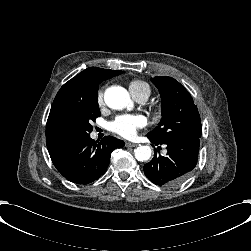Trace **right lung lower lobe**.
Instances as JSON below:
<instances>
[{
	"mask_svg": "<svg viewBox=\"0 0 251 251\" xmlns=\"http://www.w3.org/2000/svg\"><path fill=\"white\" fill-rule=\"evenodd\" d=\"M123 146L124 141L113 136H105L101 143L97 144V141L88 135L51 153L50 157L54 166L67 180L88 184L106 172L111 152Z\"/></svg>",
	"mask_w": 251,
	"mask_h": 251,
	"instance_id": "obj_1",
	"label": "right lung lower lobe"
}]
</instances>
